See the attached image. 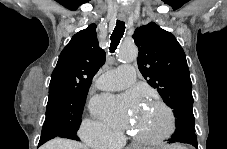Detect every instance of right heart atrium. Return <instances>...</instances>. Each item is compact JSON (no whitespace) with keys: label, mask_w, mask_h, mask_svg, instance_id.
Segmentation results:
<instances>
[{"label":"right heart atrium","mask_w":227,"mask_h":149,"mask_svg":"<svg viewBox=\"0 0 227 149\" xmlns=\"http://www.w3.org/2000/svg\"><path fill=\"white\" fill-rule=\"evenodd\" d=\"M80 136L90 146H111L115 145L117 134L101 122L86 118L81 124Z\"/></svg>","instance_id":"right-heart-atrium-1"}]
</instances>
